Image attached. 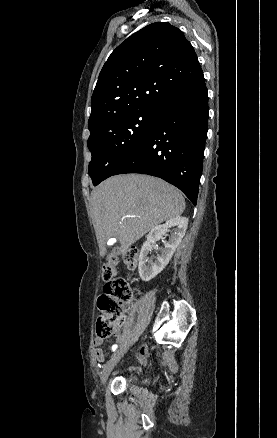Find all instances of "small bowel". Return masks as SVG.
I'll use <instances>...</instances> for the list:
<instances>
[{
  "instance_id": "c3829d8e",
  "label": "small bowel",
  "mask_w": 277,
  "mask_h": 438,
  "mask_svg": "<svg viewBox=\"0 0 277 438\" xmlns=\"http://www.w3.org/2000/svg\"><path fill=\"white\" fill-rule=\"evenodd\" d=\"M112 335H113V337H114V339L116 340L117 343H121V341H122V334H121L120 329L115 330V331L113 332ZM102 341H103V340L95 339V340L93 341V344H94L95 346H98V345L100 346V344L102 343ZM98 352H101V354H102V350H101V349H97V350H95L96 356H97V353H98ZM145 355H146V350H145V349H142L140 359L143 360V358H144ZM97 360H98L99 362H102V361L104 360V357H103L102 355H99V356L97 357Z\"/></svg>"
}]
</instances>
